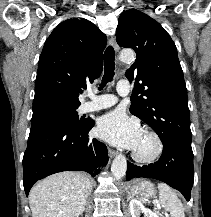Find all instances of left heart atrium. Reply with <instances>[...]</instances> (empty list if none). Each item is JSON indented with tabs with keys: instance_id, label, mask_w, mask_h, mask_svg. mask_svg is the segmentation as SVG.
<instances>
[{
	"instance_id": "left-heart-atrium-1",
	"label": "left heart atrium",
	"mask_w": 211,
	"mask_h": 217,
	"mask_svg": "<svg viewBox=\"0 0 211 217\" xmlns=\"http://www.w3.org/2000/svg\"><path fill=\"white\" fill-rule=\"evenodd\" d=\"M96 134L115 146L131 150L136 149L143 135L139 124L120 111L102 116L98 120Z\"/></svg>"
}]
</instances>
